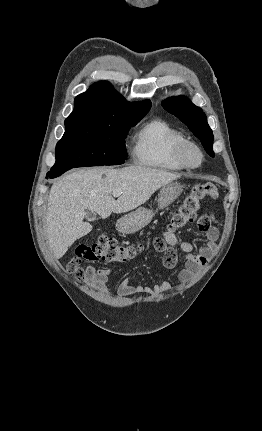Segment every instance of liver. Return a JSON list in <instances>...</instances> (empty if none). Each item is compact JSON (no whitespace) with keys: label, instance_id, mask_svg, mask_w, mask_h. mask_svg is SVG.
Segmentation results:
<instances>
[{"label":"liver","instance_id":"obj_1","mask_svg":"<svg viewBox=\"0 0 262 431\" xmlns=\"http://www.w3.org/2000/svg\"><path fill=\"white\" fill-rule=\"evenodd\" d=\"M181 177L165 170L129 166L79 169L55 182L50 190L46 215L47 240L56 259L87 235L92 226L83 222L87 210L102 219L129 212L149 200L162 186ZM120 191L117 200L112 193Z\"/></svg>","mask_w":262,"mask_h":431}]
</instances>
